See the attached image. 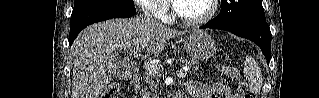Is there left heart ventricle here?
<instances>
[{
  "mask_svg": "<svg viewBox=\"0 0 319 98\" xmlns=\"http://www.w3.org/2000/svg\"><path fill=\"white\" fill-rule=\"evenodd\" d=\"M178 12L186 18H198L209 10L208 0H185L177 7Z\"/></svg>",
  "mask_w": 319,
  "mask_h": 98,
  "instance_id": "1",
  "label": "left heart ventricle"
}]
</instances>
